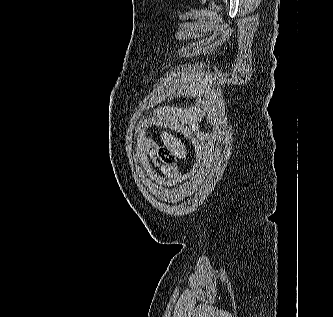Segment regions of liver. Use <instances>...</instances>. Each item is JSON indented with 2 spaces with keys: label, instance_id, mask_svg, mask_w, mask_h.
Listing matches in <instances>:
<instances>
[{
  "label": "liver",
  "instance_id": "liver-1",
  "mask_svg": "<svg viewBox=\"0 0 333 317\" xmlns=\"http://www.w3.org/2000/svg\"><path fill=\"white\" fill-rule=\"evenodd\" d=\"M161 140L163 141L166 148L176 157L184 159L187 155L185 145L175 136L168 132H162Z\"/></svg>",
  "mask_w": 333,
  "mask_h": 317
}]
</instances>
